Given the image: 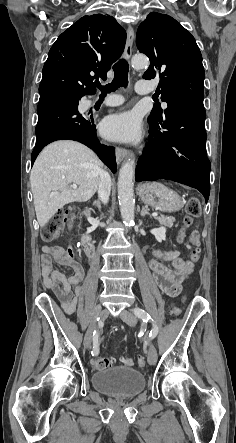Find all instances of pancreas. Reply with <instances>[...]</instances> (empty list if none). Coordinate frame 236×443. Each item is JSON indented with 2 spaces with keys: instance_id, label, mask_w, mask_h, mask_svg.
Here are the masks:
<instances>
[{
  "instance_id": "pancreas-1",
  "label": "pancreas",
  "mask_w": 236,
  "mask_h": 443,
  "mask_svg": "<svg viewBox=\"0 0 236 443\" xmlns=\"http://www.w3.org/2000/svg\"><path fill=\"white\" fill-rule=\"evenodd\" d=\"M156 219L160 225L165 227H172L173 223L175 222V217L173 216H159L156 217Z\"/></svg>"
}]
</instances>
